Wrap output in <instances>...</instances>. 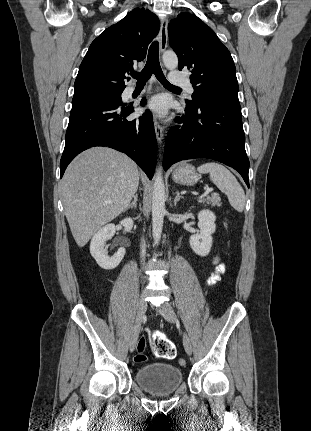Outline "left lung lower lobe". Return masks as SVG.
Wrapping results in <instances>:
<instances>
[{"label":"left lung lower lobe","mask_w":311,"mask_h":431,"mask_svg":"<svg viewBox=\"0 0 311 431\" xmlns=\"http://www.w3.org/2000/svg\"><path fill=\"white\" fill-rule=\"evenodd\" d=\"M184 125L169 130L165 143L163 167L175 162L210 158L237 170L249 187V160L246 155L242 114L238 98L213 97L186 106Z\"/></svg>","instance_id":"1"}]
</instances>
